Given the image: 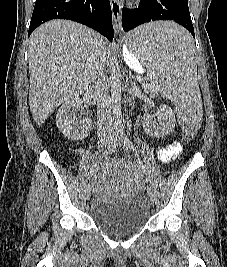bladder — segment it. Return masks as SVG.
I'll return each mask as SVG.
<instances>
[{"label":"bladder","instance_id":"obj_1","mask_svg":"<svg viewBox=\"0 0 227 267\" xmlns=\"http://www.w3.org/2000/svg\"><path fill=\"white\" fill-rule=\"evenodd\" d=\"M90 216L94 222L114 235H128L140 229L149 218V209L139 194L123 199L95 200Z\"/></svg>","mask_w":227,"mask_h":267}]
</instances>
